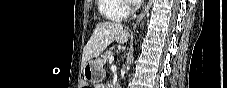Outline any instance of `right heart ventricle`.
<instances>
[{
	"instance_id": "e07e8e85",
	"label": "right heart ventricle",
	"mask_w": 227,
	"mask_h": 88,
	"mask_svg": "<svg viewBox=\"0 0 227 88\" xmlns=\"http://www.w3.org/2000/svg\"><path fill=\"white\" fill-rule=\"evenodd\" d=\"M124 2L125 0H97L98 10L103 18L119 21L127 15Z\"/></svg>"
}]
</instances>
